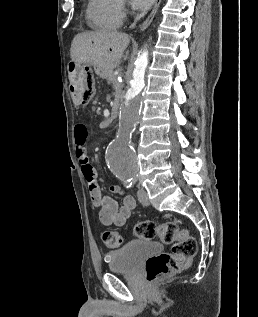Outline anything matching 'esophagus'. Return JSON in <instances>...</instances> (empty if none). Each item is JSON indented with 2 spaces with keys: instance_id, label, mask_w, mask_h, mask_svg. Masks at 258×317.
Masks as SVG:
<instances>
[{
  "instance_id": "34e87169",
  "label": "esophagus",
  "mask_w": 258,
  "mask_h": 317,
  "mask_svg": "<svg viewBox=\"0 0 258 317\" xmlns=\"http://www.w3.org/2000/svg\"><path fill=\"white\" fill-rule=\"evenodd\" d=\"M161 0H155V4L154 7L152 9V12L150 13V15L146 18V20L142 23L141 27H140V31L145 30L150 23L152 22L154 16L156 15V12L158 10V7L160 5Z\"/></svg>"
}]
</instances>
